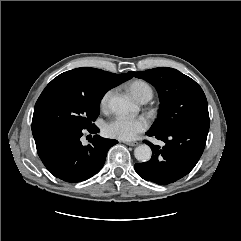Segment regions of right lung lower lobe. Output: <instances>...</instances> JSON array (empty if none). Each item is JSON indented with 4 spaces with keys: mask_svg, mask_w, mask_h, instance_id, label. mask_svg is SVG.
Returning <instances> with one entry per match:
<instances>
[{
    "mask_svg": "<svg viewBox=\"0 0 241 241\" xmlns=\"http://www.w3.org/2000/svg\"><path fill=\"white\" fill-rule=\"evenodd\" d=\"M82 131L65 125L32 130L45 167L53 176L69 183L81 182L97 174L104 165L107 151L117 143L95 135L90 144L84 146L80 140ZM89 131L97 133L99 129L94 127Z\"/></svg>",
    "mask_w": 241,
    "mask_h": 241,
    "instance_id": "right-lung-lower-lobe-1",
    "label": "right lung lower lobe"
}]
</instances>
